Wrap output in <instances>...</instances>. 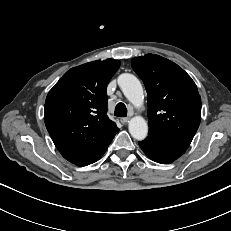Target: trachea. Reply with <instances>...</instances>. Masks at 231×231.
Returning <instances> with one entry per match:
<instances>
[{"label":"trachea","mask_w":231,"mask_h":231,"mask_svg":"<svg viewBox=\"0 0 231 231\" xmlns=\"http://www.w3.org/2000/svg\"><path fill=\"white\" fill-rule=\"evenodd\" d=\"M114 115L117 117H126L127 116V108L124 103H118L115 107Z\"/></svg>","instance_id":"obj_1"}]
</instances>
